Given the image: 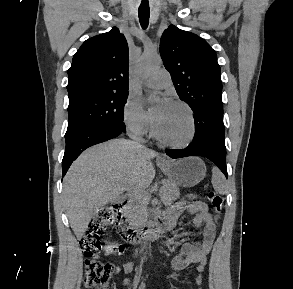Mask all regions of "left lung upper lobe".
<instances>
[{
  "mask_svg": "<svg viewBox=\"0 0 293 289\" xmlns=\"http://www.w3.org/2000/svg\"><path fill=\"white\" fill-rule=\"evenodd\" d=\"M160 55L177 94L194 114H223L220 66L216 52L204 39L170 25L162 34Z\"/></svg>",
  "mask_w": 293,
  "mask_h": 289,
  "instance_id": "left-lung-upper-lobe-1",
  "label": "left lung upper lobe"
}]
</instances>
